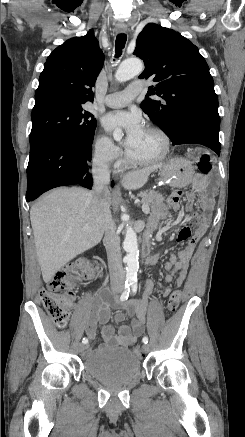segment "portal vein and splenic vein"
Here are the masks:
<instances>
[{"label": "portal vein and splenic vein", "mask_w": 245, "mask_h": 437, "mask_svg": "<svg viewBox=\"0 0 245 437\" xmlns=\"http://www.w3.org/2000/svg\"><path fill=\"white\" fill-rule=\"evenodd\" d=\"M136 202H138V200H136ZM142 211H143L145 214H148L149 211H150V209H149V207H148L147 205H142ZM86 227H87V225H86Z\"/></svg>", "instance_id": "18ae733b"}]
</instances>
